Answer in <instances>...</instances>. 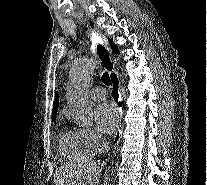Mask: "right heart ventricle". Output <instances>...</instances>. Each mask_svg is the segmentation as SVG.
<instances>
[{
  "label": "right heart ventricle",
  "instance_id": "right-heart-ventricle-1",
  "mask_svg": "<svg viewBox=\"0 0 207 185\" xmlns=\"http://www.w3.org/2000/svg\"><path fill=\"white\" fill-rule=\"evenodd\" d=\"M60 148L68 160L75 162L91 160L97 152L79 131L64 132L60 138Z\"/></svg>",
  "mask_w": 207,
  "mask_h": 185
}]
</instances>
